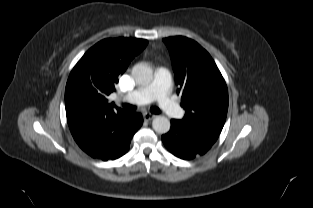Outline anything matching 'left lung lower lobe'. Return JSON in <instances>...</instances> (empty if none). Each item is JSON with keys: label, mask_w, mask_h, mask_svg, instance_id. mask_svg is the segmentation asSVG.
<instances>
[{"label": "left lung lower lobe", "mask_w": 313, "mask_h": 208, "mask_svg": "<svg viewBox=\"0 0 313 208\" xmlns=\"http://www.w3.org/2000/svg\"><path fill=\"white\" fill-rule=\"evenodd\" d=\"M219 134L191 129L180 120H171V128L162 136L167 149L175 156L189 160L205 154Z\"/></svg>", "instance_id": "obj_1"}]
</instances>
